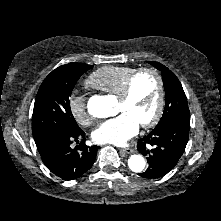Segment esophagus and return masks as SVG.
<instances>
[{
    "label": "esophagus",
    "mask_w": 221,
    "mask_h": 221,
    "mask_svg": "<svg viewBox=\"0 0 221 221\" xmlns=\"http://www.w3.org/2000/svg\"><path fill=\"white\" fill-rule=\"evenodd\" d=\"M119 150L122 151V152H124V153H128V154H131V153H134V152H135V149H134V148H130V147L120 148Z\"/></svg>",
    "instance_id": "1"
}]
</instances>
